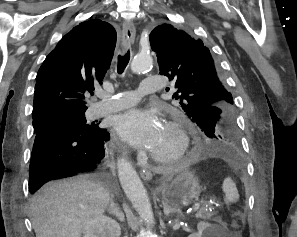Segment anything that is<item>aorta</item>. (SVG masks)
Listing matches in <instances>:
<instances>
[{
	"label": "aorta",
	"mask_w": 297,
	"mask_h": 237,
	"mask_svg": "<svg viewBox=\"0 0 297 237\" xmlns=\"http://www.w3.org/2000/svg\"><path fill=\"white\" fill-rule=\"evenodd\" d=\"M153 59L150 55H137L131 63V71L140 74L151 68ZM121 186L140 217L147 223H155L151 203L147 192L131 163L120 158L117 163Z\"/></svg>",
	"instance_id": "762f6f07"
}]
</instances>
